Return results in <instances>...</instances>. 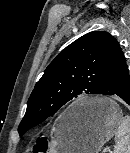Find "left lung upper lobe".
<instances>
[{"label": "left lung upper lobe", "mask_w": 130, "mask_h": 153, "mask_svg": "<svg viewBox=\"0 0 130 153\" xmlns=\"http://www.w3.org/2000/svg\"><path fill=\"white\" fill-rule=\"evenodd\" d=\"M119 51L117 40L104 31L87 33L62 50L47 66L28 99L18 127L20 136L79 95L99 94Z\"/></svg>", "instance_id": "1"}]
</instances>
